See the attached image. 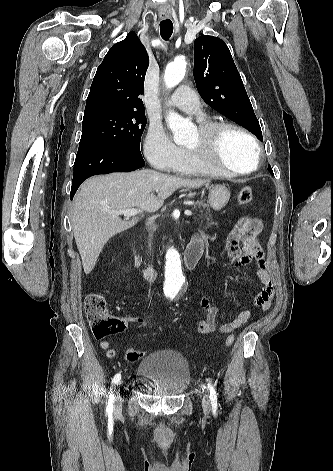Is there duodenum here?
<instances>
[{
	"mask_svg": "<svg viewBox=\"0 0 333 471\" xmlns=\"http://www.w3.org/2000/svg\"><path fill=\"white\" fill-rule=\"evenodd\" d=\"M133 263L135 267L140 268L146 280L154 281L156 279V270L153 266L143 265L140 255L137 253L133 243H130ZM204 251V242L200 238H192L189 242L183 256V263L186 269L192 270L197 265Z\"/></svg>",
	"mask_w": 333,
	"mask_h": 471,
	"instance_id": "duodenum-1",
	"label": "duodenum"
}]
</instances>
